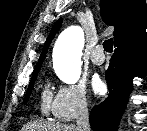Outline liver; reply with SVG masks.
I'll use <instances>...</instances> for the list:
<instances>
[{
    "mask_svg": "<svg viewBox=\"0 0 147 131\" xmlns=\"http://www.w3.org/2000/svg\"><path fill=\"white\" fill-rule=\"evenodd\" d=\"M21 131H79L75 125L47 122H29Z\"/></svg>",
    "mask_w": 147,
    "mask_h": 131,
    "instance_id": "obj_1",
    "label": "liver"
}]
</instances>
